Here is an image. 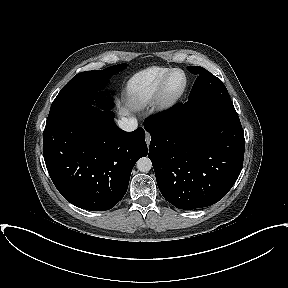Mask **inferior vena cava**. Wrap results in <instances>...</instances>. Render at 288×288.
I'll return each mask as SVG.
<instances>
[{"label": "inferior vena cava", "mask_w": 288, "mask_h": 288, "mask_svg": "<svg viewBox=\"0 0 288 288\" xmlns=\"http://www.w3.org/2000/svg\"><path fill=\"white\" fill-rule=\"evenodd\" d=\"M118 126L124 131H134L138 127V122L134 118H122L118 120Z\"/></svg>", "instance_id": "1"}]
</instances>
